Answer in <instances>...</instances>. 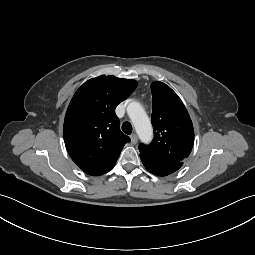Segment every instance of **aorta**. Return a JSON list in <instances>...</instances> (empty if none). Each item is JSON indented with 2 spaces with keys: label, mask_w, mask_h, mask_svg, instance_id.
I'll return each instance as SVG.
<instances>
[{
  "label": "aorta",
  "mask_w": 255,
  "mask_h": 255,
  "mask_svg": "<svg viewBox=\"0 0 255 255\" xmlns=\"http://www.w3.org/2000/svg\"><path fill=\"white\" fill-rule=\"evenodd\" d=\"M127 113L140 140L144 143H149L152 140L153 130L150 120L142 106L137 102H131L127 107Z\"/></svg>",
  "instance_id": "aorta-1"
}]
</instances>
